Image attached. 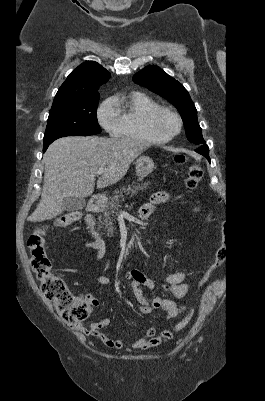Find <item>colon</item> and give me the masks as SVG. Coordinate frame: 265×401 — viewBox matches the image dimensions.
Listing matches in <instances>:
<instances>
[{
	"label": "colon",
	"mask_w": 265,
	"mask_h": 401,
	"mask_svg": "<svg viewBox=\"0 0 265 401\" xmlns=\"http://www.w3.org/2000/svg\"><path fill=\"white\" fill-rule=\"evenodd\" d=\"M175 160L179 163L185 161V157L177 155ZM203 176V170L200 165L194 164L190 167L185 178V185L188 189L197 187ZM79 212H71L61 216L56 221V225L67 227L80 219ZM46 225L36 227L34 233L28 239V247L31 253V266L36 277L40 281L43 295L54 302L55 307L61 318L69 325L77 326L87 319L91 312V305L94 304L86 299L76 297L68 288L64 279L52 273V265L45 250ZM226 260V249L220 247L215 256L212 265L205 271L199 281L201 285L211 274L219 269ZM192 311L174 327L176 331L184 328L190 321ZM164 335L167 339L173 336L172 331L165 330Z\"/></svg>",
	"instance_id": "obj_1"
}]
</instances>
